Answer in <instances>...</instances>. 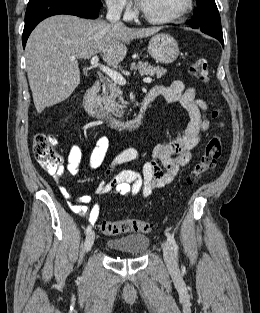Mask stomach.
<instances>
[{
	"label": "stomach",
	"mask_w": 260,
	"mask_h": 313,
	"mask_svg": "<svg viewBox=\"0 0 260 313\" xmlns=\"http://www.w3.org/2000/svg\"><path fill=\"white\" fill-rule=\"evenodd\" d=\"M148 52L157 62L169 64L177 59L179 47L176 40L171 35L159 33L150 39Z\"/></svg>",
	"instance_id": "stomach-1"
}]
</instances>
